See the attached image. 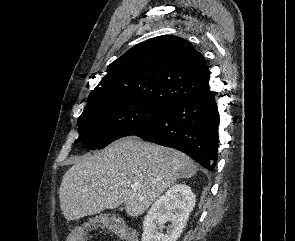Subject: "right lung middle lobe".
Segmentation results:
<instances>
[{
  "instance_id": "obj_1",
  "label": "right lung middle lobe",
  "mask_w": 295,
  "mask_h": 241,
  "mask_svg": "<svg viewBox=\"0 0 295 241\" xmlns=\"http://www.w3.org/2000/svg\"><path fill=\"white\" fill-rule=\"evenodd\" d=\"M163 110L114 92L89 95L87 105L78 118L79 138L75 142L90 150L102 149L154 119Z\"/></svg>"
}]
</instances>
